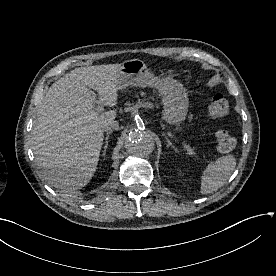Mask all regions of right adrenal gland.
I'll return each mask as SVG.
<instances>
[{
    "mask_svg": "<svg viewBox=\"0 0 276 276\" xmlns=\"http://www.w3.org/2000/svg\"><path fill=\"white\" fill-rule=\"evenodd\" d=\"M110 134H111V132H108V133L106 134L105 142H104V147H103V151H102V152H103V155L106 154V150H107L108 143H109L108 139H109Z\"/></svg>",
    "mask_w": 276,
    "mask_h": 276,
    "instance_id": "2a0ac1e0",
    "label": "right adrenal gland"
}]
</instances>
